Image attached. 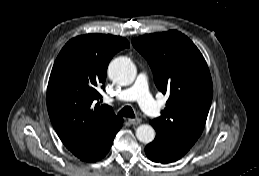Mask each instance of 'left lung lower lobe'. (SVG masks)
I'll use <instances>...</instances> for the list:
<instances>
[{
	"instance_id": "1",
	"label": "left lung lower lobe",
	"mask_w": 259,
	"mask_h": 176,
	"mask_svg": "<svg viewBox=\"0 0 259 176\" xmlns=\"http://www.w3.org/2000/svg\"><path fill=\"white\" fill-rule=\"evenodd\" d=\"M190 148L169 142L165 137L156 135L154 141L146 146L145 153L150 160L166 164L180 159Z\"/></svg>"
}]
</instances>
